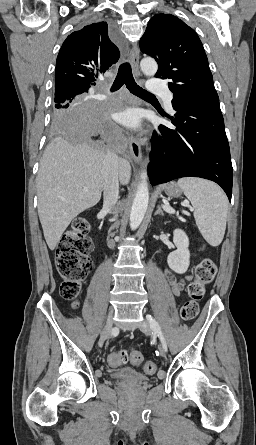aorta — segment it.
<instances>
[{
  "instance_id": "obj_1",
  "label": "aorta",
  "mask_w": 256,
  "mask_h": 445,
  "mask_svg": "<svg viewBox=\"0 0 256 445\" xmlns=\"http://www.w3.org/2000/svg\"><path fill=\"white\" fill-rule=\"evenodd\" d=\"M142 72L146 76H154L158 70L156 61L152 58H144L140 62ZM147 171L141 173V182L137 188L130 213V228L135 230L141 224L149 202V189L147 184Z\"/></svg>"
}]
</instances>
